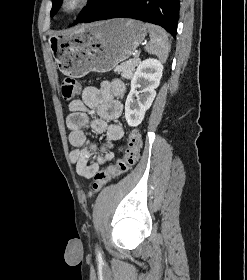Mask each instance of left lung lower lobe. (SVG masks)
Returning a JSON list of instances; mask_svg holds the SVG:
<instances>
[{
  "mask_svg": "<svg viewBox=\"0 0 247 280\" xmlns=\"http://www.w3.org/2000/svg\"><path fill=\"white\" fill-rule=\"evenodd\" d=\"M179 0H108L77 23L124 17L160 25L173 37L177 34Z\"/></svg>",
  "mask_w": 247,
  "mask_h": 280,
  "instance_id": "left-lung-lower-lobe-1",
  "label": "left lung lower lobe"
}]
</instances>
